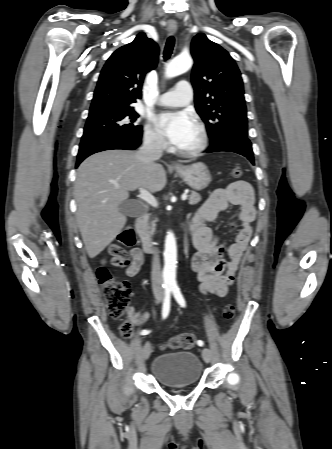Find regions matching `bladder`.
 Returning a JSON list of instances; mask_svg holds the SVG:
<instances>
[{
  "label": "bladder",
  "instance_id": "obj_1",
  "mask_svg": "<svg viewBox=\"0 0 332 449\" xmlns=\"http://www.w3.org/2000/svg\"><path fill=\"white\" fill-rule=\"evenodd\" d=\"M151 373L164 387L193 386L201 380L203 365L192 352L163 353L154 358Z\"/></svg>",
  "mask_w": 332,
  "mask_h": 449
}]
</instances>
